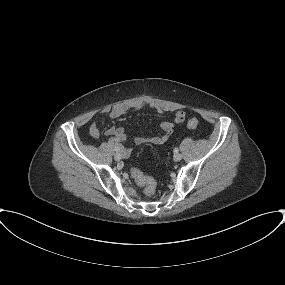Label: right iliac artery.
<instances>
[{
	"label": "right iliac artery",
	"mask_w": 285,
	"mask_h": 285,
	"mask_svg": "<svg viewBox=\"0 0 285 285\" xmlns=\"http://www.w3.org/2000/svg\"><path fill=\"white\" fill-rule=\"evenodd\" d=\"M115 151H120V148L119 147H115Z\"/></svg>",
	"instance_id": "obj_1"
}]
</instances>
